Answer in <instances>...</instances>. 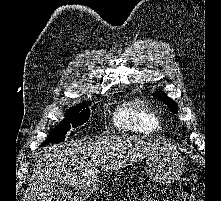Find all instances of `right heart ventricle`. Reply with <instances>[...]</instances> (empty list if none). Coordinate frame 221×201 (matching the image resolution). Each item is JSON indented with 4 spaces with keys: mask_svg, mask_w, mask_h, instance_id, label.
<instances>
[{
    "mask_svg": "<svg viewBox=\"0 0 221 201\" xmlns=\"http://www.w3.org/2000/svg\"><path fill=\"white\" fill-rule=\"evenodd\" d=\"M114 124L120 130L153 134L161 129V119L143 100L135 99L117 107Z\"/></svg>",
    "mask_w": 221,
    "mask_h": 201,
    "instance_id": "right-heart-ventricle-1",
    "label": "right heart ventricle"
}]
</instances>
